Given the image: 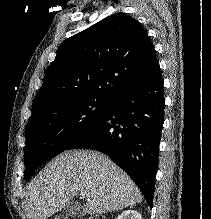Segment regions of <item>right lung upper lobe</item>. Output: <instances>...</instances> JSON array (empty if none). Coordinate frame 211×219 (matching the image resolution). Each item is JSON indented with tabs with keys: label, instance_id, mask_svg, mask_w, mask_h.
Wrapping results in <instances>:
<instances>
[{
	"label": "right lung upper lobe",
	"instance_id": "right-lung-upper-lobe-1",
	"mask_svg": "<svg viewBox=\"0 0 211 219\" xmlns=\"http://www.w3.org/2000/svg\"><path fill=\"white\" fill-rule=\"evenodd\" d=\"M157 65L153 43L137 20L124 13L106 17L59 46L30 120L82 98L112 100Z\"/></svg>",
	"mask_w": 211,
	"mask_h": 219
}]
</instances>
